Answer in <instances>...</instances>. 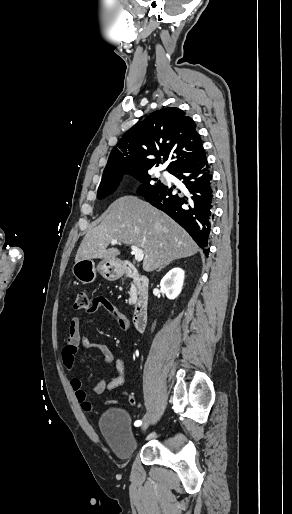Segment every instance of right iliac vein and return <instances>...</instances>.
<instances>
[{
	"label": "right iliac vein",
	"instance_id": "1",
	"mask_svg": "<svg viewBox=\"0 0 292 514\" xmlns=\"http://www.w3.org/2000/svg\"><path fill=\"white\" fill-rule=\"evenodd\" d=\"M150 421H151V413L149 412L144 416L142 430H145L149 426Z\"/></svg>",
	"mask_w": 292,
	"mask_h": 514
}]
</instances>
